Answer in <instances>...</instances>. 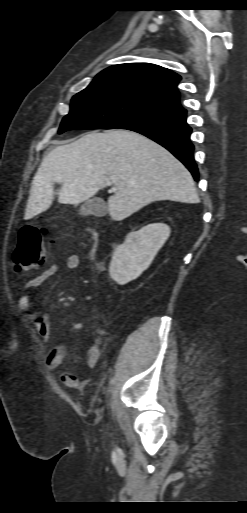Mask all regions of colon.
Segmentation results:
<instances>
[{"label": "colon", "mask_w": 247, "mask_h": 513, "mask_svg": "<svg viewBox=\"0 0 247 513\" xmlns=\"http://www.w3.org/2000/svg\"><path fill=\"white\" fill-rule=\"evenodd\" d=\"M45 235L44 228L34 225H25L20 229L13 252V267L16 272L29 271L42 265L46 258L43 240Z\"/></svg>", "instance_id": "5ec220e1"}]
</instances>
